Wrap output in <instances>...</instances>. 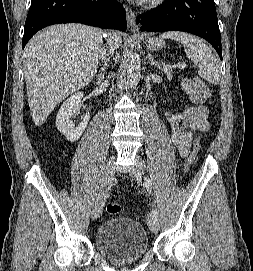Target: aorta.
<instances>
[{
	"label": "aorta",
	"mask_w": 253,
	"mask_h": 271,
	"mask_svg": "<svg viewBox=\"0 0 253 271\" xmlns=\"http://www.w3.org/2000/svg\"><path fill=\"white\" fill-rule=\"evenodd\" d=\"M141 62L139 55L136 53H130L127 64V79L130 88H135L140 80Z\"/></svg>",
	"instance_id": "1"
}]
</instances>
